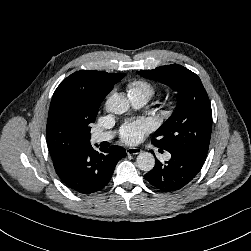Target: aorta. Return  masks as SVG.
I'll use <instances>...</instances> for the list:
<instances>
[{
    "instance_id": "aorta-1",
    "label": "aorta",
    "mask_w": 251,
    "mask_h": 251,
    "mask_svg": "<svg viewBox=\"0 0 251 251\" xmlns=\"http://www.w3.org/2000/svg\"><path fill=\"white\" fill-rule=\"evenodd\" d=\"M130 107L128 99L121 94H113L106 101V109L113 114H123ZM137 166L142 171H151L155 166V158L150 152H142L137 156Z\"/></svg>"
}]
</instances>
